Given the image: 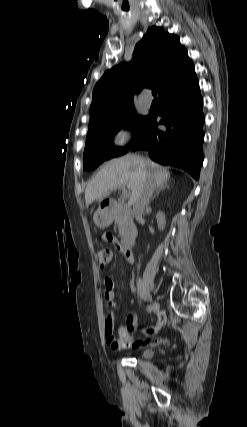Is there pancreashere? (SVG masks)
<instances>
[{
    "instance_id": "cf45deb5",
    "label": "pancreas",
    "mask_w": 247,
    "mask_h": 427,
    "mask_svg": "<svg viewBox=\"0 0 247 427\" xmlns=\"http://www.w3.org/2000/svg\"><path fill=\"white\" fill-rule=\"evenodd\" d=\"M115 224L118 226L119 235L125 236L130 224L129 213L123 209H117L114 213Z\"/></svg>"
}]
</instances>
